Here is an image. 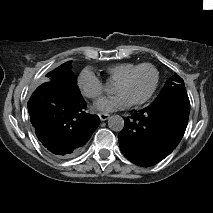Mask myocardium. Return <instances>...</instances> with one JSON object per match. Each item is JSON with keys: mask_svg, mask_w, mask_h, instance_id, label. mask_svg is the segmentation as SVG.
<instances>
[{"mask_svg": "<svg viewBox=\"0 0 213 213\" xmlns=\"http://www.w3.org/2000/svg\"><path fill=\"white\" fill-rule=\"evenodd\" d=\"M144 69H149L152 73H153V82L152 85L149 89V91L142 97L136 99V100H131L130 104L131 105H141L143 103H145L147 100H149L151 98V96L153 95V93L156 90L157 84H158V80H159V73L158 70L151 64L149 63H145V64H141L135 68H133L128 74L124 75L122 78H120L116 84H123L128 82L136 73L144 70Z\"/></svg>", "mask_w": 213, "mask_h": 213, "instance_id": "1", "label": "myocardium"}]
</instances>
